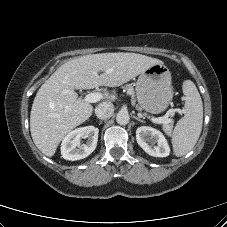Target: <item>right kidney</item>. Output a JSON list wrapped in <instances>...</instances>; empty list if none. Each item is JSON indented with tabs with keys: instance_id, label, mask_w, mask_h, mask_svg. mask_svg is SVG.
<instances>
[{
	"instance_id": "1",
	"label": "right kidney",
	"mask_w": 227,
	"mask_h": 227,
	"mask_svg": "<svg viewBox=\"0 0 227 227\" xmlns=\"http://www.w3.org/2000/svg\"><path fill=\"white\" fill-rule=\"evenodd\" d=\"M99 129L94 126L77 128L69 132L61 144V154L66 160L75 161L86 158L96 148ZM80 139H87L85 144H80Z\"/></svg>"
}]
</instances>
